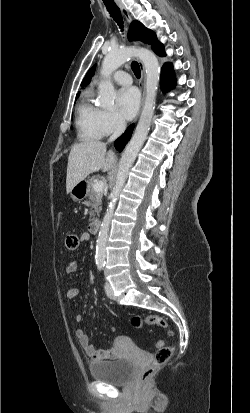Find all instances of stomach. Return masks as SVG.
<instances>
[{
  "mask_svg": "<svg viewBox=\"0 0 250 413\" xmlns=\"http://www.w3.org/2000/svg\"><path fill=\"white\" fill-rule=\"evenodd\" d=\"M87 183L85 181L79 182L70 192V197L73 201H80L86 194Z\"/></svg>",
  "mask_w": 250,
  "mask_h": 413,
  "instance_id": "stomach-1",
  "label": "stomach"
}]
</instances>
